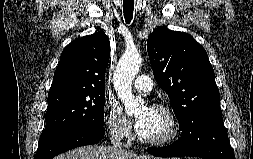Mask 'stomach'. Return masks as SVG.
I'll return each mask as SVG.
<instances>
[{"label": "stomach", "instance_id": "0dacf381", "mask_svg": "<svg viewBox=\"0 0 253 159\" xmlns=\"http://www.w3.org/2000/svg\"><path fill=\"white\" fill-rule=\"evenodd\" d=\"M147 159H162V158L148 157ZM175 159H180V158H175Z\"/></svg>", "mask_w": 253, "mask_h": 159}]
</instances>
